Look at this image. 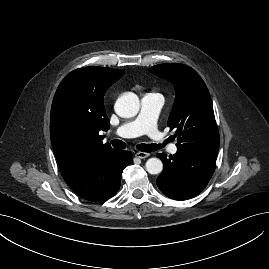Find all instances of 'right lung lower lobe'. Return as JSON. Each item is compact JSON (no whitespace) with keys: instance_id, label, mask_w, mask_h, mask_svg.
<instances>
[{"instance_id":"obj_1","label":"right lung lower lobe","mask_w":269,"mask_h":269,"mask_svg":"<svg viewBox=\"0 0 269 269\" xmlns=\"http://www.w3.org/2000/svg\"><path fill=\"white\" fill-rule=\"evenodd\" d=\"M131 159V152L116 150L62 174L66 183L79 196L90 201H102L117 193L122 172Z\"/></svg>"}]
</instances>
